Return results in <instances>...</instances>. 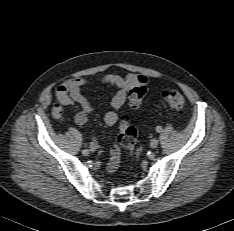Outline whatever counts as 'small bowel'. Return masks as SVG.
Segmentation results:
<instances>
[{
	"label": "small bowel",
	"mask_w": 234,
	"mask_h": 231,
	"mask_svg": "<svg viewBox=\"0 0 234 231\" xmlns=\"http://www.w3.org/2000/svg\"><path fill=\"white\" fill-rule=\"evenodd\" d=\"M137 78L135 75L130 74L125 77L117 74H109L104 76L100 83L109 85L117 89L112 98V110L107 112L104 121L107 125H114L118 118V109L125 103L127 92L134 86ZM90 83L81 78H73L63 82L56 90L57 103L52 108V115L58 119L62 116L63 107L73 104L81 106L82 110L75 116V121L78 125H85L90 114L93 112V106L90 101L83 95L82 88ZM116 163L111 159L107 165V170L113 172L116 169Z\"/></svg>",
	"instance_id": "1"
}]
</instances>
